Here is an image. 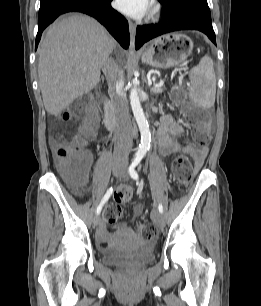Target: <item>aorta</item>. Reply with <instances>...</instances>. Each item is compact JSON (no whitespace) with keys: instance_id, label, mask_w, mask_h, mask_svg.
Returning a JSON list of instances; mask_svg holds the SVG:
<instances>
[{"instance_id":"1","label":"aorta","mask_w":261,"mask_h":306,"mask_svg":"<svg viewBox=\"0 0 261 306\" xmlns=\"http://www.w3.org/2000/svg\"><path fill=\"white\" fill-rule=\"evenodd\" d=\"M130 104L135 117V120L138 124L140 133H141V144L139 145L137 155L144 156L149 149L151 135L149 130L148 122L143 113L141 103L138 96V91L136 86H134L130 91Z\"/></svg>"}]
</instances>
